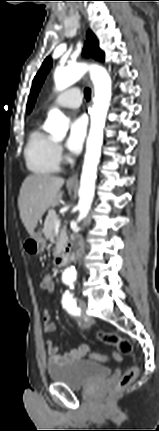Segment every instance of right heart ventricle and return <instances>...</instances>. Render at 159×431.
Returning <instances> with one entry per match:
<instances>
[{"instance_id": "right-heart-ventricle-1", "label": "right heart ventricle", "mask_w": 159, "mask_h": 431, "mask_svg": "<svg viewBox=\"0 0 159 431\" xmlns=\"http://www.w3.org/2000/svg\"><path fill=\"white\" fill-rule=\"evenodd\" d=\"M56 144L38 127L33 128L27 138L24 158L27 168L41 175L54 174L59 171V160L56 156Z\"/></svg>"}]
</instances>
